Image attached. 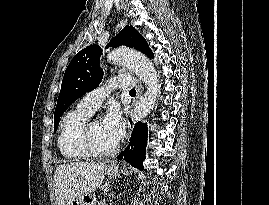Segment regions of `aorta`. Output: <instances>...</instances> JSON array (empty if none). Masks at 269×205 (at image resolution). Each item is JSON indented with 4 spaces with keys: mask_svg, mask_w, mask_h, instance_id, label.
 Segmentation results:
<instances>
[{
    "mask_svg": "<svg viewBox=\"0 0 269 205\" xmlns=\"http://www.w3.org/2000/svg\"><path fill=\"white\" fill-rule=\"evenodd\" d=\"M107 60L126 66L147 86L146 92L136 102L133 110L135 121L144 119L153 110L159 93V79L153 63L142 53L123 48L109 52Z\"/></svg>",
    "mask_w": 269,
    "mask_h": 205,
    "instance_id": "762f6f07",
    "label": "aorta"
}]
</instances>
